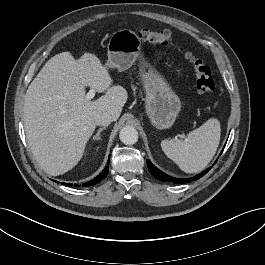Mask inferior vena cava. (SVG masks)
<instances>
[{"label": "inferior vena cava", "instance_id": "1", "mask_svg": "<svg viewBox=\"0 0 265 265\" xmlns=\"http://www.w3.org/2000/svg\"><path fill=\"white\" fill-rule=\"evenodd\" d=\"M94 121L98 126H108L112 121H114V117L110 113L102 112L95 117Z\"/></svg>", "mask_w": 265, "mask_h": 265}]
</instances>
